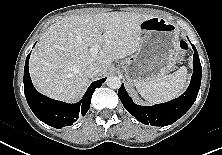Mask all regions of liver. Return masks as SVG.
I'll use <instances>...</instances> for the list:
<instances>
[{
    "mask_svg": "<svg viewBox=\"0 0 222 155\" xmlns=\"http://www.w3.org/2000/svg\"><path fill=\"white\" fill-rule=\"evenodd\" d=\"M153 16L108 12L70 16L52 24L33 50L29 71L35 87L58 100L75 99L87 85L86 68L96 64L102 74L114 60L141 47L140 24ZM102 46L93 54L90 47Z\"/></svg>",
    "mask_w": 222,
    "mask_h": 155,
    "instance_id": "6515ba94",
    "label": "liver"
}]
</instances>
